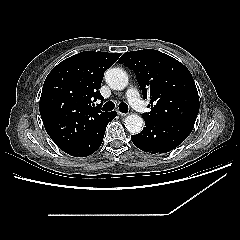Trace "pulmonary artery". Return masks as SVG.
Segmentation results:
<instances>
[{
  "instance_id": "obj_1",
  "label": "pulmonary artery",
  "mask_w": 240,
  "mask_h": 240,
  "mask_svg": "<svg viewBox=\"0 0 240 240\" xmlns=\"http://www.w3.org/2000/svg\"><path fill=\"white\" fill-rule=\"evenodd\" d=\"M126 97L133 108L140 112L144 111L145 109L144 102L139 98L136 89L134 88L129 89L126 93Z\"/></svg>"
}]
</instances>
